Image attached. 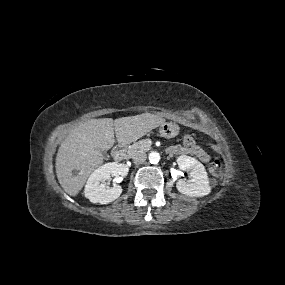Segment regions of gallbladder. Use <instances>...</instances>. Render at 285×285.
I'll return each mask as SVG.
<instances>
[{"mask_svg": "<svg viewBox=\"0 0 285 285\" xmlns=\"http://www.w3.org/2000/svg\"><path fill=\"white\" fill-rule=\"evenodd\" d=\"M102 154H103V157H104L105 159H108V158H109V155H108V153L106 152V150H105V151H102Z\"/></svg>", "mask_w": 285, "mask_h": 285, "instance_id": "gallbladder-1", "label": "gallbladder"}]
</instances>
